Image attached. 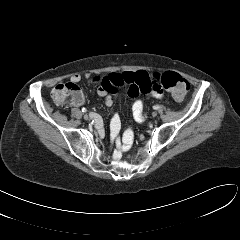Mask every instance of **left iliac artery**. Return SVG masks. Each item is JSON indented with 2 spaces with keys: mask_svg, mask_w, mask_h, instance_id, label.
<instances>
[{
  "mask_svg": "<svg viewBox=\"0 0 240 240\" xmlns=\"http://www.w3.org/2000/svg\"><path fill=\"white\" fill-rule=\"evenodd\" d=\"M153 108H154L155 110H157V109H159V106H158V105H154Z\"/></svg>",
  "mask_w": 240,
  "mask_h": 240,
  "instance_id": "left-iliac-artery-1",
  "label": "left iliac artery"
}]
</instances>
